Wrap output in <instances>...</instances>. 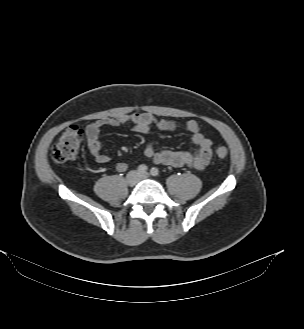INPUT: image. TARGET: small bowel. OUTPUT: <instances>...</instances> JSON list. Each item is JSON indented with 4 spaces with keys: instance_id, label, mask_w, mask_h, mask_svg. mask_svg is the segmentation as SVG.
<instances>
[{
    "instance_id": "obj_1",
    "label": "small bowel",
    "mask_w": 304,
    "mask_h": 329,
    "mask_svg": "<svg viewBox=\"0 0 304 329\" xmlns=\"http://www.w3.org/2000/svg\"><path fill=\"white\" fill-rule=\"evenodd\" d=\"M130 124L132 129L140 134L146 135L153 128L160 131L173 132L182 130L190 134L191 142L194 146L193 152L187 151H157L151 142H147L144 154L155 164L169 165L174 167L187 166L195 170H202L210 163L212 157V142L207 139L201 132L199 124L194 121H188L181 125L173 120L156 119L150 113H131L119 115L111 118H103L90 123L85 128V135L88 149L99 164L110 162V157L102 152V143L100 133L105 126H122ZM127 164L119 162L116 165L118 172H125Z\"/></svg>"
}]
</instances>
